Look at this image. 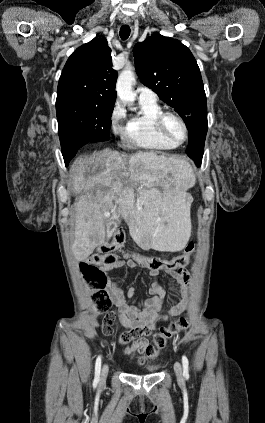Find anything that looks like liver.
I'll use <instances>...</instances> for the list:
<instances>
[{
    "label": "liver",
    "mask_w": 265,
    "mask_h": 423,
    "mask_svg": "<svg viewBox=\"0 0 265 423\" xmlns=\"http://www.w3.org/2000/svg\"><path fill=\"white\" fill-rule=\"evenodd\" d=\"M70 171L74 192L84 193L74 203L72 252L78 262L104 243L105 223L120 216L143 249L178 252L188 243L191 199L186 191L194 174L187 159L153 151H139L128 159L106 148L79 157Z\"/></svg>",
    "instance_id": "6515ba94"
}]
</instances>
